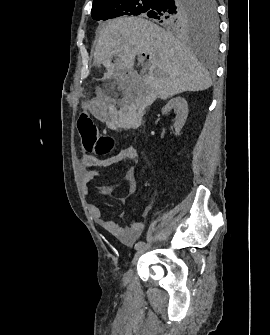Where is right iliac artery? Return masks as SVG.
I'll use <instances>...</instances> for the list:
<instances>
[{
    "instance_id": "82829eb1",
    "label": "right iliac artery",
    "mask_w": 270,
    "mask_h": 335,
    "mask_svg": "<svg viewBox=\"0 0 270 335\" xmlns=\"http://www.w3.org/2000/svg\"><path fill=\"white\" fill-rule=\"evenodd\" d=\"M144 245H145V243L143 241H139L138 243L135 244V249L137 250V249L141 248Z\"/></svg>"
}]
</instances>
